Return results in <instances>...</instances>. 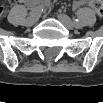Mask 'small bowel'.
Listing matches in <instances>:
<instances>
[{"label": "small bowel", "mask_w": 103, "mask_h": 103, "mask_svg": "<svg viewBox=\"0 0 103 103\" xmlns=\"http://www.w3.org/2000/svg\"><path fill=\"white\" fill-rule=\"evenodd\" d=\"M25 4L28 7H35V6H42L45 8H48V4L46 2L38 1V0H27L25 1ZM85 3L83 1H75L73 3L74 8H80L84 5ZM5 12V11H4ZM4 14V13H3Z\"/></svg>", "instance_id": "1"}]
</instances>
